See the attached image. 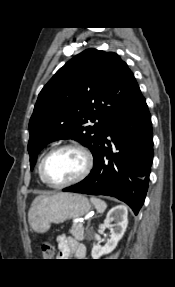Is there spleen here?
<instances>
[{
  "label": "spleen",
  "mask_w": 175,
  "mask_h": 287,
  "mask_svg": "<svg viewBox=\"0 0 175 287\" xmlns=\"http://www.w3.org/2000/svg\"><path fill=\"white\" fill-rule=\"evenodd\" d=\"M90 200L98 212H100V213L104 212V210L107 207L106 202H104L103 200H101L99 198H95V197H91Z\"/></svg>",
  "instance_id": "1"
}]
</instances>
